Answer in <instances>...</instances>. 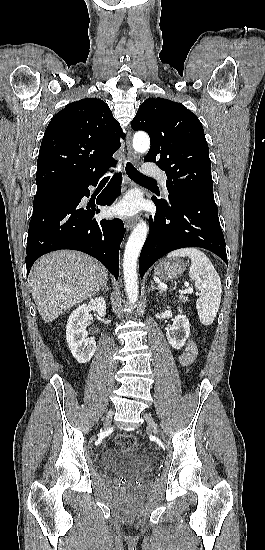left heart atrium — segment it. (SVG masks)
<instances>
[{
    "mask_svg": "<svg viewBox=\"0 0 265 550\" xmlns=\"http://www.w3.org/2000/svg\"><path fill=\"white\" fill-rule=\"evenodd\" d=\"M138 210V201L133 196H127L112 208V213L121 216H129Z\"/></svg>",
    "mask_w": 265,
    "mask_h": 550,
    "instance_id": "39dd6f15",
    "label": "left heart atrium"
}]
</instances>
